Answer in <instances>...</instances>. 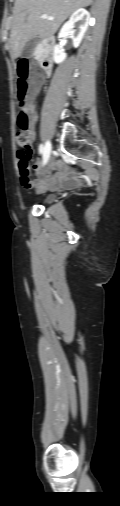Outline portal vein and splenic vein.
<instances>
[{
	"label": "portal vein and splenic vein",
	"instance_id": "18ae733b",
	"mask_svg": "<svg viewBox=\"0 0 120 506\" xmlns=\"http://www.w3.org/2000/svg\"><path fill=\"white\" fill-rule=\"evenodd\" d=\"M41 17H42V19H47V20H53L54 19L53 17H50L48 15H42Z\"/></svg>",
	"mask_w": 120,
	"mask_h": 506
}]
</instances>
